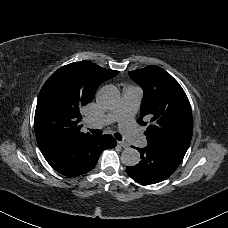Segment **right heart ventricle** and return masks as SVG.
I'll return each instance as SVG.
<instances>
[{"label": "right heart ventricle", "mask_w": 228, "mask_h": 228, "mask_svg": "<svg viewBox=\"0 0 228 228\" xmlns=\"http://www.w3.org/2000/svg\"><path fill=\"white\" fill-rule=\"evenodd\" d=\"M113 88H115V89L117 90V88H116V87H114V86H113ZM117 91H118V90H117Z\"/></svg>", "instance_id": "right-heart-ventricle-1"}]
</instances>
